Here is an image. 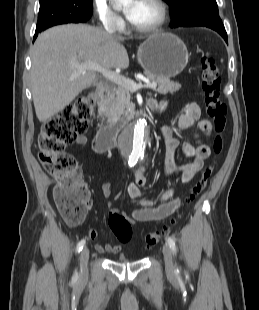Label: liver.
<instances>
[{"mask_svg": "<svg viewBox=\"0 0 259 310\" xmlns=\"http://www.w3.org/2000/svg\"><path fill=\"white\" fill-rule=\"evenodd\" d=\"M122 40L84 24L60 25L39 35L31 49V89L38 120L46 122L96 81L95 71L78 70L72 63L92 61L109 70L128 68Z\"/></svg>", "mask_w": 259, "mask_h": 310, "instance_id": "liver-1", "label": "liver"}]
</instances>
